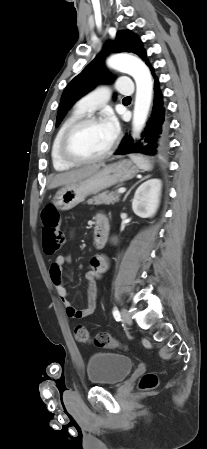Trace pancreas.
<instances>
[{"instance_id":"cf45deb5","label":"pancreas","mask_w":207,"mask_h":449,"mask_svg":"<svg viewBox=\"0 0 207 449\" xmlns=\"http://www.w3.org/2000/svg\"><path fill=\"white\" fill-rule=\"evenodd\" d=\"M120 195L115 192H103L93 198L89 199L87 203L89 205H102V204H114L119 201Z\"/></svg>"}]
</instances>
